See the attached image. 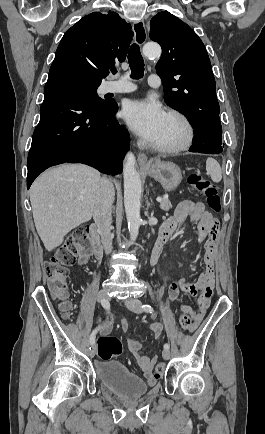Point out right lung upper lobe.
Segmentation results:
<instances>
[{"mask_svg": "<svg viewBox=\"0 0 265 434\" xmlns=\"http://www.w3.org/2000/svg\"><path fill=\"white\" fill-rule=\"evenodd\" d=\"M133 35L131 25L116 12L90 13L62 37L49 76L69 74L101 82L115 60H125Z\"/></svg>", "mask_w": 265, "mask_h": 434, "instance_id": "cb5924a9", "label": "right lung upper lobe"}]
</instances>
